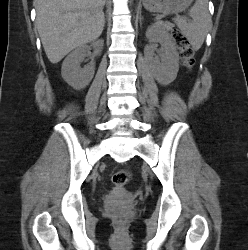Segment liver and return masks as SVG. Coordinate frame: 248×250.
<instances>
[{"label": "liver", "instance_id": "6515ba94", "mask_svg": "<svg viewBox=\"0 0 248 250\" xmlns=\"http://www.w3.org/2000/svg\"><path fill=\"white\" fill-rule=\"evenodd\" d=\"M104 4L105 0H34L36 26L51 63L101 35Z\"/></svg>", "mask_w": 248, "mask_h": 250}]
</instances>
